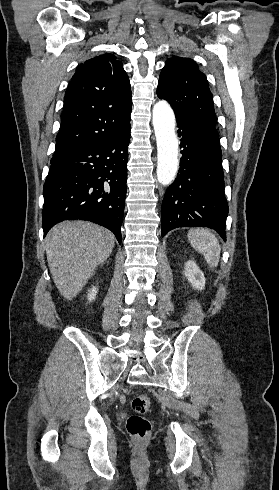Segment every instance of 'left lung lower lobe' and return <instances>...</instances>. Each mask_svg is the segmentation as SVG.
I'll list each match as a JSON object with an SVG mask.
<instances>
[{
    "label": "left lung lower lobe",
    "instance_id": "1",
    "mask_svg": "<svg viewBox=\"0 0 279 490\" xmlns=\"http://www.w3.org/2000/svg\"><path fill=\"white\" fill-rule=\"evenodd\" d=\"M182 137L180 169L162 201V237L178 227H208L226 241L229 212L216 127L176 116Z\"/></svg>",
    "mask_w": 279,
    "mask_h": 490
}]
</instances>
